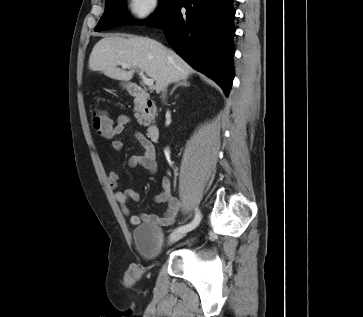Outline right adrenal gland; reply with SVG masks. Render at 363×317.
Returning a JSON list of instances; mask_svg holds the SVG:
<instances>
[{
	"mask_svg": "<svg viewBox=\"0 0 363 317\" xmlns=\"http://www.w3.org/2000/svg\"><path fill=\"white\" fill-rule=\"evenodd\" d=\"M179 86H184V87H189L190 86V83L187 81V79H184L183 81H180L179 83H177L173 89L171 90L170 92V95L173 94V92L175 91V89Z\"/></svg>",
	"mask_w": 363,
	"mask_h": 317,
	"instance_id": "1",
	"label": "right adrenal gland"
}]
</instances>
